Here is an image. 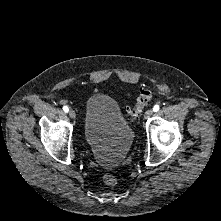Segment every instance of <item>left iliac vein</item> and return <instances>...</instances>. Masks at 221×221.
Listing matches in <instances>:
<instances>
[{
	"instance_id": "1",
	"label": "left iliac vein",
	"mask_w": 221,
	"mask_h": 221,
	"mask_svg": "<svg viewBox=\"0 0 221 221\" xmlns=\"http://www.w3.org/2000/svg\"><path fill=\"white\" fill-rule=\"evenodd\" d=\"M153 115V110L149 109L145 112L144 118L148 119L149 117H151Z\"/></svg>"
}]
</instances>
